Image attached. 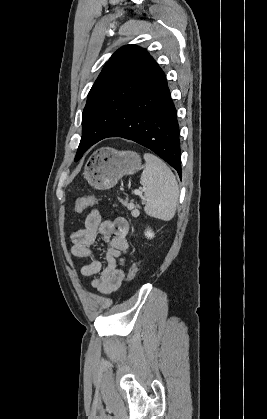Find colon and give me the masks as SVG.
<instances>
[{
	"mask_svg": "<svg viewBox=\"0 0 267 419\" xmlns=\"http://www.w3.org/2000/svg\"><path fill=\"white\" fill-rule=\"evenodd\" d=\"M96 202H97V199L94 196L80 198L75 203L74 211L76 213H81L86 208H88V207L93 206L94 204H96ZM137 272H138V263L135 262L129 268L128 275H127V280L128 281L134 280L135 277H136V275H137Z\"/></svg>",
	"mask_w": 267,
	"mask_h": 419,
	"instance_id": "1",
	"label": "colon"
}]
</instances>
